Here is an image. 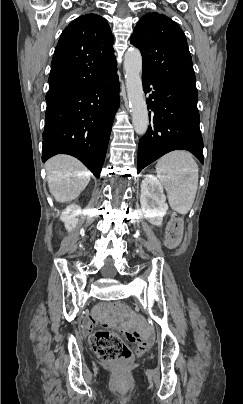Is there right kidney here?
<instances>
[{"label": "right kidney", "instance_id": "obj_1", "mask_svg": "<svg viewBox=\"0 0 243 404\" xmlns=\"http://www.w3.org/2000/svg\"><path fill=\"white\" fill-rule=\"evenodd\" d=\"M79 214H81V208L80 206H76V204H71V206H67V208L63 210L60 220L64 222L68 232H72L73 228H76L78 224L77 216H79Z\"/></svg>", "mask_w": 243, "mask_h": 404}]
</instances>
